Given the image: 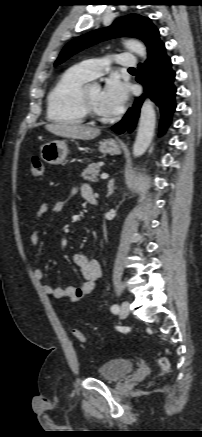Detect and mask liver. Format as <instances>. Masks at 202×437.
Segmentation results:
<instances>
[{
  "label": "liver",
  "mask_w": 202,
  "mask_h": 437,
  "mask_svg": "<svg viewBox=\"0 0 202 437\" xmlns=\"http://www.w3.org/2000/svg\"><path fill=\"white\" fill-rule=\"evenodd\" d=\"M45 128L52 134L64 138L91 140L100 135L98 128L83 125L69 124L65 122L46 124Z\"/></svg>",
  "instance_id": "1"
}]
</instances>
